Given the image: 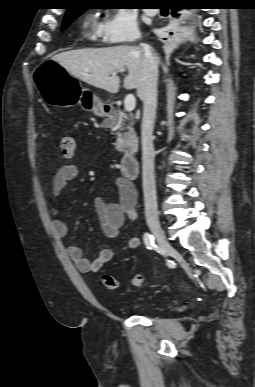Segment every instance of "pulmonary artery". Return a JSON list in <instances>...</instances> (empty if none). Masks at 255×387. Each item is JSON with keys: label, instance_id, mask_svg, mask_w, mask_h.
I'll list each match as a JSON object with an SVG mask.
<instances>
[{"label": "pulmonary artery", "instance_id": "pulmonary-artery-1", "mask_svg": "<svg viewBox=\"0 0 255 387\" xmlns=\"http://www.w3.org/2000/svg\"><path fill=\"white\" fill-rule=\"evenodd\" d=\"M145 12L148 14V15H156L158 10L157 9H146Z\"/></svg>", "mask_w": 255, "mask_h": 387}]
</instances>
